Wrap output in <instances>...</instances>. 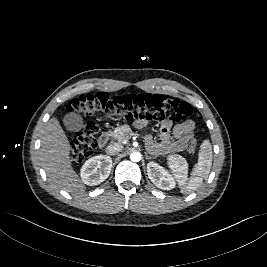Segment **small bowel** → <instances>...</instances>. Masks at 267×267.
<instances>
[{
    "mask_svg": "<svg viewBox=\"0 0 267 267\" xmlns=\"http://www.w3.org/2000/svg\"><path fill=\"white\" fill-rule=\"evenodd\" d=\"M146 121L138 120L135 122L137 128L146 126ZM195 124L193 120L186 119L185 121L176 124L172 127L170 122L161 124L158 138L151 135L146 137L148 149L155 154H168L181 152L186 147L188 136L194 134Z\"/></svg>",
    "mask_w": 267,
    "mask_h": 267,
    "instance_id": "small-bowel-1",
    "label": "small bowel"
}]
</instances>
